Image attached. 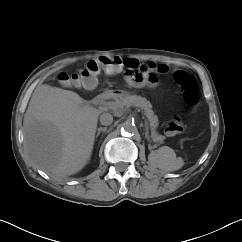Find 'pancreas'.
<instances>
[{
    "mask_svg": "<svg viewBox=\"0 0 242 242\" xmlns=\"http://www.w3.org/2000/svg\"><path fill=\"white\" fill-rule=\"evenodd\" d=\"M112 98L115 100V103L118 104L119 108L133 106L144 110V114L147 117L151 127L152 139L158 142L163 141L164 137L156 132V128L158 127V117L154 114L150 101L141 96L128 94L120 96L114 94L112 95Z\"/></svg>",
    "mask_w": 242,
    "mask_h": 242,
    "instance_id": "pancreas-1",
    "label": "pancreas"
}]
</instances>
